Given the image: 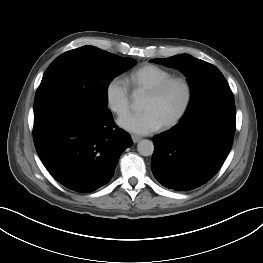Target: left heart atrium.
<instances>
[{
    "instance_id": "obj_1",
    "label": "left heart atrium",
    "mask_w": 263,
    "mask_h": 263,
    "mask_svg": "<svg viewBox=\"0 0 263 263\" xmlns=\"http://www.w3.org/2000/svg\"><path fill=\"white\" fill-rule=\"evenodd\" d=\"M118 125L128 132L147 135L159 130L164 122L154 110L147 109L121 117L118 120Z\"/></svg>"
}]
</instances>
